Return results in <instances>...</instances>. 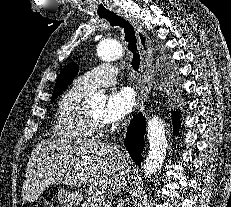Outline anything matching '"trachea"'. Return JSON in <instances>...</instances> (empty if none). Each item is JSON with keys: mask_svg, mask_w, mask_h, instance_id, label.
<instances>
[{"mask_svg": "<svg viewBox=\"0 0 231 207\" xmlns=\"http://www.w3.org/2000/svg\"><path fill=\"white\" fill-rule=\"evenodd\" d=\"M100 18L107 19L112 26H119L124 29V38L125 41L128 43L127 48L133 55L131 62L132 67L135 71H138L141 64V58L138 52L137 39L133 26L123 17L115 13L100 15Z\"/></svg>", "mask_w": 231, "mask_h": 207, "instance_id": "trachea-1", "label": "trachea"}]
</instances>
